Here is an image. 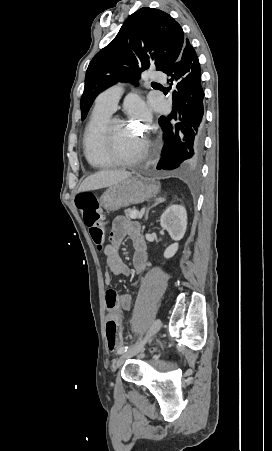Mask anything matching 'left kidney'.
<instances>
[{
  "mask_svg": "<svg viewBox=\"0 0 272 451\" xmlns=\"http://www.w3.org/2000/svg\"><path fill=\"white\" fill-rule=\"evenodd\" d=\"M160 226L167 229L175 243L168 245L164 251V257H173L179 247V239H182L187 227V212L184 206H170L160 218Z\"/></svg>",
  "mask_w": 272,
  "mask_h": 451,
  "instance_id": "obj_1",
  "label": "left kidney"
}]
</instances>
